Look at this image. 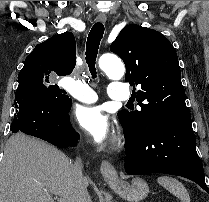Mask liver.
<instances>
[{"label": "liver", "mask_w": 209, "mask_h": 202, "mask_svg": "<svg viewBox=\"0 0 209 202\" xmlns=\"http://www.w3.org/2000/svg\"><path fill=\"white\" fill-rule=\"evenodd\" d=\"M70 159L48 143L17 133L0 164V202H76ZM86 186L88 179L84 178Z\"/></svg>", "instance_id": "liver-1"}]
</instances>
